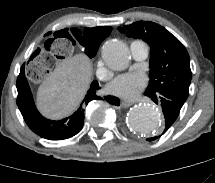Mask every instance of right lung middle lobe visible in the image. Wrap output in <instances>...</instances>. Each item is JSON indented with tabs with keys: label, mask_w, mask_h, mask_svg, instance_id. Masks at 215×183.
<instances>
[{
	"label": "right lung middle lobe",
	"mask_w": 215,
	"mask_h": 183,
	"mask_svg": "<svg viewBox=\"0 0 215 183\" xmlns=\"http://www.w3.org/2000/svg\"><path fill=\"white\" fill-rule=\"evenodd\" d=\"M67 33L65 36L71 39L73 43L78 41L85 47V52L90 58L96 55L98 47L103 41V38L97 36L93 31H91V28H86L83 33H81L78 29H72V35Z\"/></svg>",
	"instance_id": "1"
}]
</instances>
